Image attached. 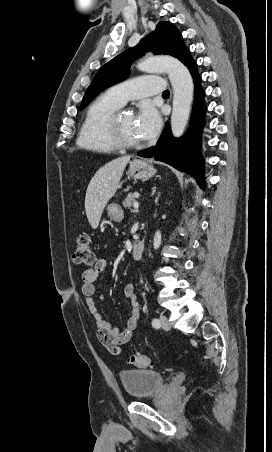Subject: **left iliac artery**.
<instances>
[{
	"label": "left iliac artery",
	"instance_id": "1",
	"mask_svg": "<svg viewBox=\"0 0 272 452\" xmlns=\"http://www.w3.org/2000/svg\"><path fill=\"white\" fill-rule=\"evenodd\" d=\"M152 325H153V327H155V328H159V327H160V321H159L157 318H154V319L152 320Z\"/></svg>",
	"mask_w": 272,
	"mask_h": 452
}]
</instances>
